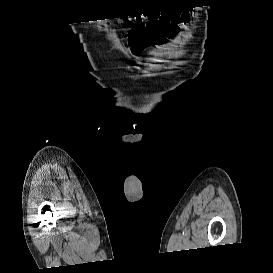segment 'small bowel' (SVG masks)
<instances>
[{"label": "small bowel", "instance_id": "1", "mask_svg": "<svg viewBox=\"0 0 273 273\" xmlns=\"http://www.w3.org/2000/svg\"><path fill=\"white\" fill-rule=\"evenodd\" d=\"M189 20L188 14H171L149 21L147 23L149 34L139 42L130 43L133 54L139 55L145 50L156 49L167 40L173 39L178 33L179 26L187 24Z\"/></svg>", "mask_w": 273, "mask_h": 273}]
</instances>
